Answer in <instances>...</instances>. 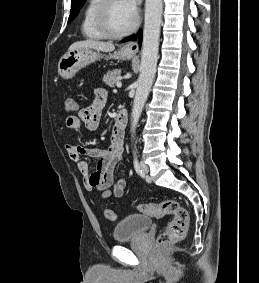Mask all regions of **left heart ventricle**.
<instances>
[{"mask_svg":"<svg viewBox=\"0 0 259 283\" xmlns=\"http://www.w3.org/2000/svg\"><path fill=\"white\" fill-rule=\"evenodd\" d=\"M134 13L124 0H114L108 11V23L112 31L122 32L133 23Z\"/></svg>","mask_w":259,"mask_h":283,"instance_id":"b2bd125f","label":"left heart ventricle"}]
</instances>
